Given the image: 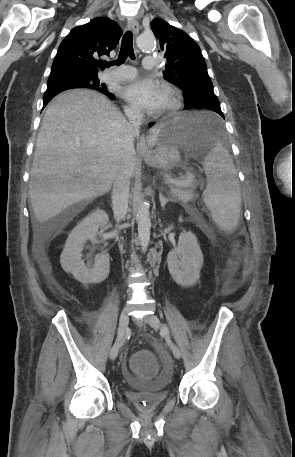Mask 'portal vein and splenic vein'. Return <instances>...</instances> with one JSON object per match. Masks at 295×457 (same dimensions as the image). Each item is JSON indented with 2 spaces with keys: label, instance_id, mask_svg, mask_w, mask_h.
<instances>
[{
  "label": "portal vein and splenic vein",
  "instance_id": "18ae733b",
  "mask_svg": "<svg viewBox=\"0 0 295 457\" xmlns=\"http://www.w3.org/2000/svg\"><path fill=\"white\" fill-rule=\"evenodd\" d=\"M96 165V163H95ZM195 181V176L192 172H189L185 175V177L183 179H180V180H175V179H172V178H168L165 180L166 184H169V185H175V186H186V185H189L190 183L194 182Z\"/></svg>",
  "mask_w": 295,
  "mask_h": 457
}]
</instances>
